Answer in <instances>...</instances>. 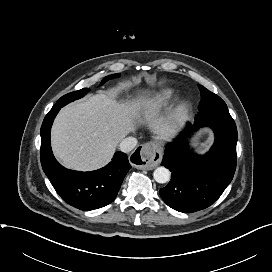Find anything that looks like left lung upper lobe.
<instances>
[{"label":"left lung upper lobe","mask_w":272,"mask_h":272,"mask_svg":"<svg viewBox=\"0 0 272 272\" xmlns=\"http://www.w3.org/2000/svg\"><path fill=\"white\" fill-rule=\"evenodd\" d=\"M201 91V103L199 112H205L213 109L227 108L225 102L216 94L210 92L205 87L198 85Z\"/></svg>","instance_id":"obj_1"}]
</instances>
